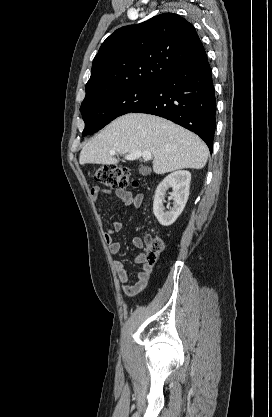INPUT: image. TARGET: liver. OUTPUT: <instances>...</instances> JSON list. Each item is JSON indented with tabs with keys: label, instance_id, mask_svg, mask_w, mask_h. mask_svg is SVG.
Listing matches in <instances>:
<instances>
[{
	"label": "liver",
	"instance_id": "liver-1",
	"mask_svg": "<svg viewBox=\"0 0 272 417\" xmlns=\"http://www.w3.org/2000/svg\"><path fill=\"white\" fill-rule=\"evenodd\" d=\"M124 155L148 151L154 157L153 171L164 174L179 169H202L209 150L194 133L158 116L130 113L118 117L81 150L79 162L116 165Z\"/></svg>",
	"mask_w": 272,
	"mask_h": 417
}]
</instances>
